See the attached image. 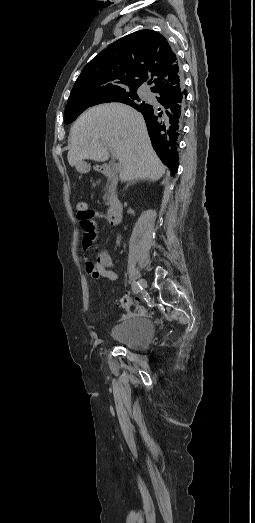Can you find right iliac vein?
<instances>
[{"mask_svg": "<svg viewBox=\"0 0 255 523\" xmlns=\"http://www.w3.org/2000/svg\"><path fill=\"white\" fill-rule=\"evenodd\" d=\"M139 284H140V286H141V288H142L141 290L144 291V290L146 289V287H147V283H146V281H145L144 279H140V280H139Z\"/></svg>", "mask_w": 255, "mask_h": 523, "instance_id": "1", "label": "right iliac vein"}]
</instances>
